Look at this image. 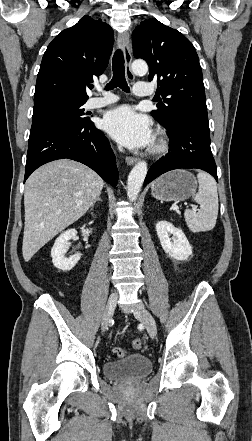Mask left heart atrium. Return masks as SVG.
<instances>
[{"label": "left heart atrium", "mask_w": 252, "mask_h": 441, "mask_svg": "<svg viewBox=\"0 0 252 441\" xmlns=\"http://www.w3.org/2000/svg\"><path fill=\"white\" fill-rule=\"evenodd\" d=\"M103 126L117 142L128 148H144L154 141L149 119L131 106L109 111L103 119Z\"/></svg>", "instance_id": "left-heart-atrium-1"}]
</instances>
